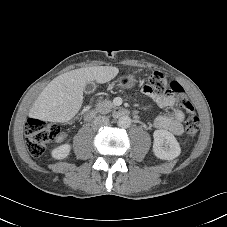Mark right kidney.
<instances>
[{
	"instance_id": "1",
	"label": "right kidney",
	"mask_w": 227,
	"mask_h": 227,
	"mask_svg": "<svg viewBox=\"0 0 227 227\" xmlns=\"http://www.w3.org/2000/svg\"><path fill=\"white\" fill-rule=\"evenodd\" d=\"M70 150L71 146L69 144L60 145L52 150V157L55 159L66 158L69 155Z\"/></svg>"
}]
</instances>
